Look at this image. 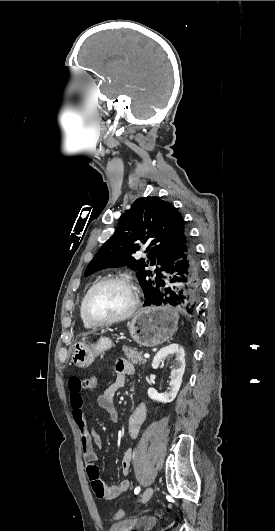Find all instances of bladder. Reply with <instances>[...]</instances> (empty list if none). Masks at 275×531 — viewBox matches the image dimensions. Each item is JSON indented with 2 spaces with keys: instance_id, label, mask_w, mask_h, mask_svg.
<instances>
[{
  "instance_id": "obj_1",
  "label": "bladder",
  "mask_w": 275,
  "mask_h": 531,
  "mask_svg": "<svg viewBox=\"0 0 275 531\" xmlns=\"http://www.w3.org/2000/svg\"><path fill=\"white\" fill-rule=\"evenodd\" d=\"M155 524L156 519L151 516H146L139 520L123 519L112 522L109 531H130L131 528H136L137 531H153Z\"/></svg>"
}]
</instances>
